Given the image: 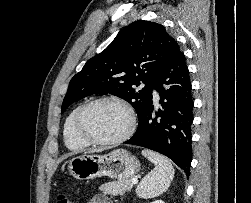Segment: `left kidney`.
Here are the masks:
<instances>
[{
    "label": "left kidney",
    "mask_w": 251,
    "mask_h": 203,
    "mask_svg": "<svg viewBox=\"0 0 251 203\" xmlns=\"http://www.w3.org/2000/svg\"><path fill=\"white\" fill-rule=\"evenodd\" d=\"M151 203H164L162 200H156V201H153Z\"/></svg>",
    "instance_id": "obj_1"
}]
</instances>
